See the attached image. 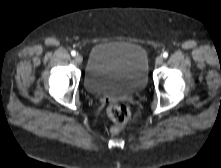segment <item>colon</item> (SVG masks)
<instances>
[{
    "mask_svg": "<svg viewBox=\"0 0 221 168\" xmlns=\"http://www.w3.org/2000/svg\"><path fill=\"white\" fill-rule=\"evenodd\" d=\"M107 111L113 123L118 128L124 126L130 118L128 107L119 102L109 103Z\"/></svg>",
    "mask_w": 221,
    "mask_h": 168,
    "instance_id": "5ec220e1",
    "label": "colon"
}]
</instances>
